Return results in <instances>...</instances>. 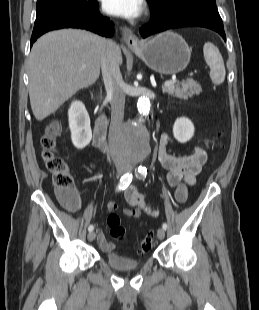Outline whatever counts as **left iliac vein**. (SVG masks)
I'll return each mask as SVG.
<instances>
[{
    "label": "left iliac vein",
    "mask_w": 259,
    "mask_h": 310,
    "mask_svg": "<svg viewBox=\"0 0 259 310\" xmlns=\"http://www.w3.org/2000/svg\"><path fill=\"white\" fill-rule=\"evenodd\" d=\"M128 172H131L132 171V168L131 167H127L126 169ZM157 237L158 239L160 240H163L164 237H165V230L163 228H159L158 231H157Z\"/></svg>",
    "instance_id": "obj_1"
}]
</instances>
